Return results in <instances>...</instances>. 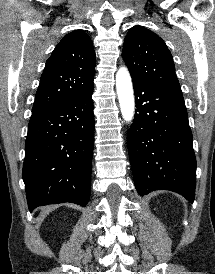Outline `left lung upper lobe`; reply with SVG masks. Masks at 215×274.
Wrapping results in <instances>:
<instances>
[{
	"label": "left lung upper lobe",
	"mask_w": 215,
	"mask_h": 274,
	"mask_svg": "<svg viewBox=\"0 0 215 274\" xmlns=\"http://www.w3.org/2000/svg\"><path fill=\"white\" fill-rule=\"evenodd\" d=\"M122 57L132 79L183 97L172 55L157 34L143 26H133L125 37Z\"/></svg>",
	"instance_id": "obj_1"
}]
</instances>
